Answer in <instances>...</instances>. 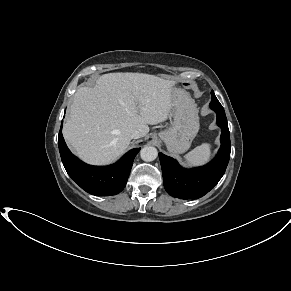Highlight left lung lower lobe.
I'll return each instance as SVG.
<instances>
[{
  "mask_svg": "<svg viewBox=\"0 0 291 291\" xmlns=\"http://www.w3.org/2000/svg\"><path fill=\"white\" fill-rule=\"evenodd\" d=\"M221 128V147L218 155L205 166L194 169L181 167L176 160L159 153L166 191L180 199H197L208 193L222 178L230 158V135L226 115L220 102H211Z\"/></svg>",
  "mask_w": 291,
  "mask_h": 291,
  "instance_id": "0a47b994",
  "label": "left lung lower lobe"
}]
</instances>
